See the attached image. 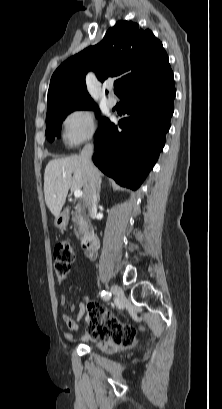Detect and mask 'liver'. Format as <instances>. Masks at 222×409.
I'll return each mask as SVG.
<instances>
[{
  "instance_id": "1",
  "label": "liver",
  "mask_w": 222,
  "mask_h": 409,
  "mask_svg": "<svg viewBox=\"0 0 222 409\" xmlns=\"http://www.w3.org/2000/svg\"><path fill=\"white\" fill-rule=\"evenodd\" d=\"M84 185L85 171L80 156L73 155L49 161L44 173V196L51 213L55 217L58 216L69 189L80 190Z\"/></svg>"
}]
</instances>
